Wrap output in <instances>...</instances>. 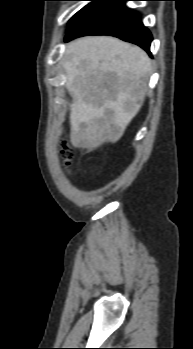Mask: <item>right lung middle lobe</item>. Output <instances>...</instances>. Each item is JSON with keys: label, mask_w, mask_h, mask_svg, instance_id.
Here are the masks:
<instances>
[{"label": "right lung middle lobe", "mask_w": 193, "mask_h": 349, "mask_svg": "<svg viewBox=\"0 0 193 349\" xmlns=\"http://www.w3.org/2000/svg\"><path fill=\"white\" fill-rule=\"evenodd\" d=\"M84 1H91V3L83 7L71 18L68 24L69 28H72L73 26H75L81 19H83L87 14H89L93 9H95L105 0H84Z\"/></svg>", "instance_id": "dd1d6c3e"}]
</instances>
